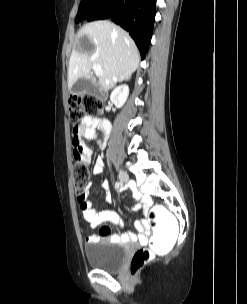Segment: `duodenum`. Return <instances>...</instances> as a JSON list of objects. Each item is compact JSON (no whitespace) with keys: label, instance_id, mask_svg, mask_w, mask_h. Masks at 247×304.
Masks as SVG:
<instances>
[{"label":"duodenum","instance_id":"1","mask_svg":"<svg viewBox=\"0 0 247 304\" xmlns=\"http://www.w3.org/2000/svg\"><path fill=\"white\" fill-rule=\"evenodd\" d=\"M103 118V117H102ZM106 134V133H105ZM103 138H106V135H103Z\"/></svg>","mask_w":247,"mask_h":304}]
</instances>
